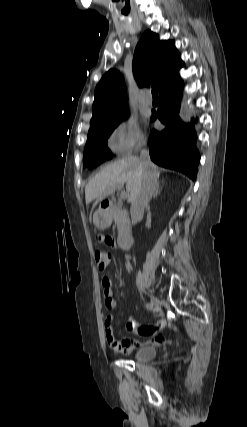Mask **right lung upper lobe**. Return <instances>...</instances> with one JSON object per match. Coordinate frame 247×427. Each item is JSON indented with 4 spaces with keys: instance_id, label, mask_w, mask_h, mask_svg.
Returning a JSON list of instances; mask_svg holds the SVG:
<instances>
[{
    "instance_id": "obj_1",
    "label": "right lung upper lobe",
    "mask_w": 247,
    "mask_h": 427,
    "mask_svg": "<svg viewBox=\"0 0 247 427\" xmlns=\"http://www.w3.org/2000/svg\"><path fill=\"white\" fill-rule=\"evenodd\" d=\"M179 60L173 41H160L157 34L147 30L134 53L135 79L139 86L152 83L160 92L178 76L183 65ZM94 97L90 129L113 120L127 109L122 75L116 70L106 72L96 86Z\"/></svg>"
}]
</instances>
